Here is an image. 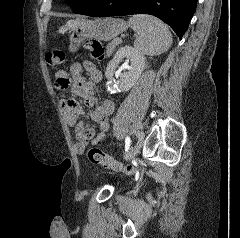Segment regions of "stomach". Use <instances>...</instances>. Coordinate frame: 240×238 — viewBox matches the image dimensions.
I'll use <instances>...</instances> for the list:
<instances>
[{
    "label": "stomach",
    "instance_id": "1",
    "mask_svg": "<svg viewBox=\"0 0 240 238\" xmlns=\"http://www.w3.org/2000/svg\"><path fill=\"white\" fill-rule=\"evenodd\" d=\"M127 28V23L122 19L99 18L82 20L78 28L69 30V52L75 53L85 39L95 38L101 41H109Z\"/></svg>",
    "mask_w": 240,
    "mask_h": 238
}]
</instances>
